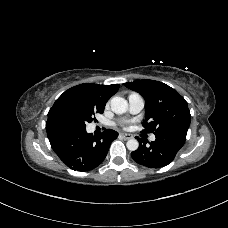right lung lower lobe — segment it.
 I'll return each mask as SVG.
<instances>
[{
  "label": "right lung lower lobe",
  "instance_id": "right-lung-lower-lobe-1",
  "mask_svg": "<svg viewBox=\"0 0 228 228\" xmlns=\"http://www.w3.org/2000/svg\"><path fill=\"white\" fill-rule=\"evenodd\" d=\"M51 147L58 157L71 169L89 171L105 159L111 142L118 137L114 130L107 129L98 138L86 129L51 125L46 127Z\"/></svg>",
  "mask_w": 228,
  "mask_h": 228
}]
</instances>
